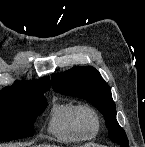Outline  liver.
I'll list each match as a JSON object with an SVG mask.
<instances>
[{
	"mask_svg": "<svg viewBox=\"0 0 145 147\" xmlns=\"http://www.w3.org/2000/svg\"><path fill=\"white\" fill-rule=\"evenodd\" d=\"M36 147H56V146L47 144V145H38Z\"/></svg>",
	"mask_w": 145,
	"mask_h": 147,
	"instance_id": "6515ba94",
	"label": "liver"
}]
</instances>
